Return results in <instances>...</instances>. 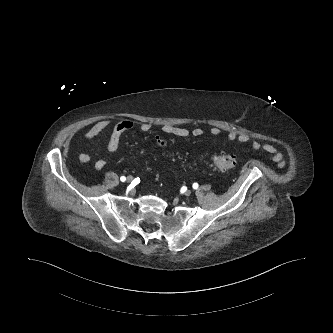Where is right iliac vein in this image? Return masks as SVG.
<instances>
[{"label":"right iliac vein","mask_w":333,"mask_h":333,"mask_svg":"<svg viewBox=\"0 0 333 333\" xmlns=\"http://www.w3.org/2000/svg\"><path fill=\"white\" fill-rule=\"evenodd\" d=\"M132 180H133V177H132V176H128L127 179H126V181H127L128 183L132 182Z\"/></svg>","instance_id":"1"}]
</instances>
